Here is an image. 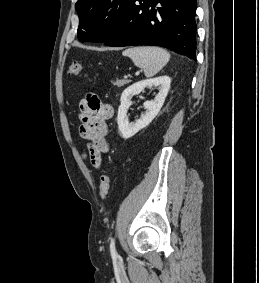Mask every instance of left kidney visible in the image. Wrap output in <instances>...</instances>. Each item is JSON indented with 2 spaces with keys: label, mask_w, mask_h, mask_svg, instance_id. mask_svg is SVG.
Here are the masks:
<instances>
[{
  "label": "left kidney",
  "mask_w": 259,
  "mask_h": 283,
  "mask_svg": "<svg viewBox=\"0 0 259 283\" xmlns=\"http://www.w3.org/2000/svg\"><path fill=\"white\" fill-rule=\"evenodd\" d=\"M171 79L168 76H160L153 79L142 80L126 88L121 95V104L118 109L117 123L120 131V135L124 139H129L134 136L141 129L148 126L152 120L157 116L165 98L170 89ZM159 87V93L155 96L154 100L146 101L144 106L146 108L145 114L135 122H129L127 111L131 106V99L134 95L139 94L145 88Z\"/></svg>",
  "instance_id": "obj_1"
}]
</instances>
